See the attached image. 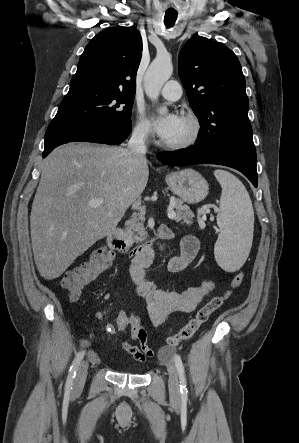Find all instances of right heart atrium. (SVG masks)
<instances>
[{
    "mask_svg": "<svg viewBox=\"0 0 299 443\" xmlns=\"http://www.w3.org/2000/svg\"><path fill=\"white\" fill-rule=\"evenodd\" d=\"M132 134L140 142H147L151 138L150 126L141 114L137 116Z\"/></svg>",
    "mask_w": 299,
    "mask_h": 443,
    "instance_id": "right-heart-atrium-1",
    "label": "right heart atrium"
}]
</instances>
